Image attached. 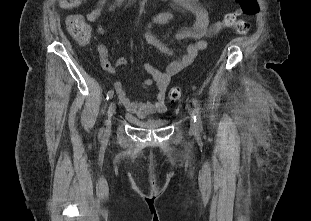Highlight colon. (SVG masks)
<instances>
[{
    "label": "colon",
    "mask_w": 311,
    "mask_h": 221,
    "mask_svg": "<svg viewBox=\"0 0 311 221\" xmlns=\"http://www.w3.org/2000/svg\"><path fill=\"white\" fill-rule=\"evenodd\" d=\"M84 0H66L59 1V8H75L76 4H83ZM238 3L242 9L244 15H254L260 10L259 0H238ZM240 15V13L231 12L225 16V18L217 24L218 27H228L229 24H234L232 19ZM249 26L248 20H239V26H235V30L238 33L246 32ZM66 29L69 34L81 45H85L89 42L91 37V26L88 21L80 14H72L66 18ZM182 95L181 87H172L169 89L166 99L169 102L178 100Z\"/></svg>",
    "instance_id": "obj_1"
}]
</instances>
